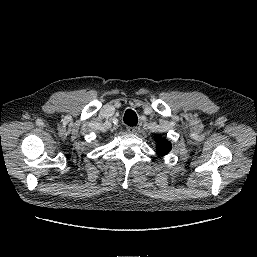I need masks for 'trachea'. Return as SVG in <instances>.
Returning a JSON list of instances; mask_svg holds the SVG:
<instances>
[{
	"label": "trachea",
	"mask_w": 257,
	"mask_h": 257,
	"mask_svg": "<svg viewBox=\"0 0 257 257\" xmlns=\"http://www.w3.org/2000/svg\"><path fill=\"white\" fill-rule=\"evenodd\" d=\"M123 121L128 126H135L138 123V117L133 110L128 109L124 114Z\"/></svg>",
	"instance_id": "trachea-1"
}]
</instances>
